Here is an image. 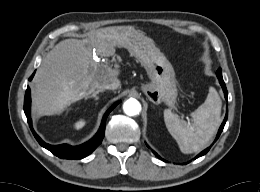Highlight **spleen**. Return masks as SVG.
Returning a JSON list of instances; mask_svg holds the SVG:
<instances>
[{
    "label": "spleen",
    "mask_w": 260,
    "mask_h": 192,
    "mask_svg": "<svg viewBox=\"0 0 260 192\" xmlns=\"http://www.w3.org/2000/svg\"><path fill=\"white\" fill-rule=\"evenodd\" d=\"M221 107L220 96L210 87L205 102L191 113V123L180 119L170 109L164 110L165 125L181 152H198L209 143L221 124Z\"/></svg>",
    "instance_id": "spleen-1"
}]
</instances>
